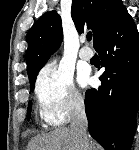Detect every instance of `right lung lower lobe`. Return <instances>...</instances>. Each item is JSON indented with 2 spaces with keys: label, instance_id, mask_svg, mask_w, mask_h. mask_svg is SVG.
Instances as JSON below:
<instances>
[{
  "label": "right lung lower lobe",
  "instance_id": "1",
  "mask_svg": "<svg viewBox=\"0 0 139 150\" xmlns=\"http://www.w3.org/2000/svg\"><path fill=\"white\" fill-rule=\"evenodd\" d=\"M95 49L105 71L100 88L85 94L90 135L105 150H129L139 109V34L127 10Z\"/></svg>",
  "mask_w": 139,
  "mask_h": 150
}]
</instances>
